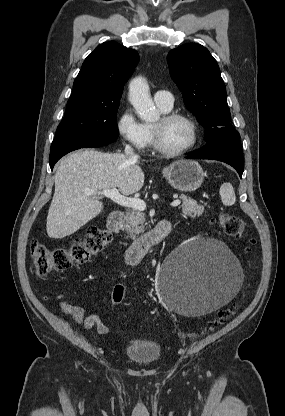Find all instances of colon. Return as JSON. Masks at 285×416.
<instances>
[{
  "label": "colon",
  "mask_w": 285,
  "mask_h": 416,
  "mask_svg": "<svg viewBox=\"0 0 285 416\" xmlns=\"http://www.w3.org/2000/svg\"><path fill=\"white\" fill-rule=\"evenodd\" d=\"M218 222L224 231L232 237L240 238L244 233L245 224L242 219L221 213ZM111 241V234L96 226L89 227L84 236L75 240L69 246L49 247L38 240H33L30 246L32 269L37 277H43L53 271H64L72 266L81 265L92 256L101 252ZM125 298V287L116 285L112 292V302L120 305ZM237 310V306L222 310L218 313L212 326L224 323Z\"/></svg>",
  "instance_id": "colon-1"
}]
</instances>
